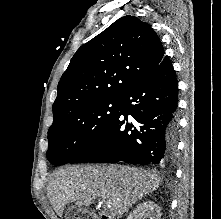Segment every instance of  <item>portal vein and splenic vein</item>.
I'll use <instances>...</instances> for the list:
<instances>
[{
    "label": "portal vein and splenic vein",
    "mask_w": 221,
    "mask_h": 219,
    "mask_svg": "<svg viewBox=\"0 0 221 219\" xmlns=\"http://www.w3.org/2000/svg\"><path fill=\"white\" fill-rule=\"evenodd\" d=\"M101 204H105V202H104V201H101Z\"/></svg>",
    "instance_id": "1"
}]
</instances>
